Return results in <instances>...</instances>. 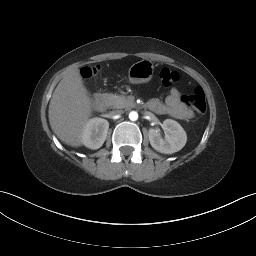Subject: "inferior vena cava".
I'll return each mask as SVG.
<instances>
[{
    "instance_id": "602c4592",
    "label": "inferior vena cava",
    "mask_w": 256,
    "mask_h": 256,
    "mask_svg": "<svg viewBox=\"0 0 256 256\" xmlns=\"http://www.w3.org/2000/svg\"><path fill=\"white\" fill-rule=\"evenodd\" d=\"M122 110H114V111H112L111 112V115H120V114H122Z\"/></svg>"
}]
</instances>
